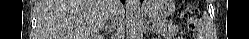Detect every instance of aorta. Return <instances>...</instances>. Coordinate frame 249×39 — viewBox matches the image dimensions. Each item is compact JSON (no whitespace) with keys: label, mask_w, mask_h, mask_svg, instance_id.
Instances as JSON below:
<instances>
[{"label":"aorta","mask_w":249,"mask_h":39,"mask_svg":"<svg viewBox=\"0 0 249 39\" xmlns=\"http://www.w3.org/2000/svg\"><path fill=\"white\" fill-rule=\"evenodd\" d=\"M140 22V0H126V29L128 37H135Z\"/></svg>","instance_id":"1"}]
</instances>
